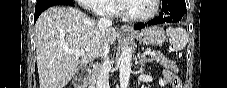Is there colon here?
<instances>
[{
	"label": "colon",
	"mask_w": 227,
	"mask_h": 88,
	"mask_svg": "<svg viewBox=\"0 0 227 88\" xmlns=\"http://www.w3.org/2000/svg\"><path fill=\"white\" fill-rule=\"evenodd\" d=\"M173 87L174 88H181V83L179 81H174L173 82Z\"/></svg>",
	"instance_id": "obj_1"
}]
</instances>
